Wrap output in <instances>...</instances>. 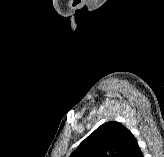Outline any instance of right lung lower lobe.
I'll list each match as a JSON object with an SVG mask.
<instances>
[{"label":"right lung lower lobe","instance_id":"obj_1","mask_svg":"<svg viewBox=\"0 0 164 157\" xmlns=\"http://www.w3.org/2000/svg\"><path fill=\"white\" fill-rule=\"evenodd\" d=\"M127 157H143V154L140 150V147H139L138 143H136L133 146V148L131 149V151L127 155Z\"/></svg>","mask_w":164,"mask_h":157}]
</instances>
